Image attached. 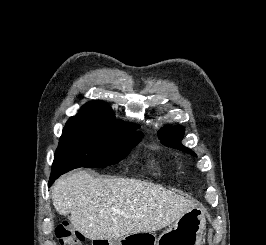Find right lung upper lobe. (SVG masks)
I'll return each mask as SVG.
<instances>
[{
  "label": "right lung upper lobe",
  "instance_id": "obj_1",
  "mask_svg": "<svg viewBox=\"0 0 266 245\" xmlns=\"http://www.w3.org/2000/svg\"><path fill=\"white\" fill-rule=\"evenodd\" d=\"M71 118H94L110 121L113 120V123L125 126H139L134 123H125L123 121H116L114 119V114L112 110L103 102L100 101H91L85 104L78 115Z\"/></svg>",
  "mask_w": 266,
  "mask_h": 245
}]
</instances>
